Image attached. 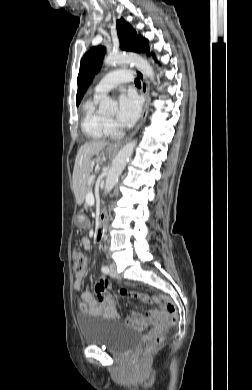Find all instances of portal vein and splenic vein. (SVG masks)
I'll return each mask as SVG.
<instances>
[{"mask_svg":"<svg viewBox=\"0 0 252 390\" xmlns=\"http://www.w3.org/2000/svg\"><path fill=\"white\" fill-rule=\"evenodd\" d=\"M86 202L89 204V205H93L94 204V196H93V193L90 192L86 195Z\"/></svg>","mask_w":252,"mask_h":390,"instance_id":"18ae733b","label":"portal vein and splenic vein"}]
</instances>
